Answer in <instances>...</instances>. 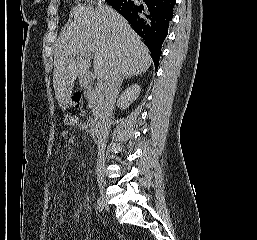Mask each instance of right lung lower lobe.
I'll return each instance as SVG.
<instances>
[{
	"label": "right lung lower lobe",
	"instance_id": "1",
	"mask_svg": "<svg viewBox=\"0 0 257 240\" xmlns=\"http://www.w3.org/2000/svg\"><path fill=\"white\" fill-rule=\"evenodd\" d=\"M176 0H113L109 4L117 10L141 36L152 54L157 69L161 46L168 33Z\"/></svg>",
	"mask_w": 257,
	"mask_h": 240
}]
</instances>
